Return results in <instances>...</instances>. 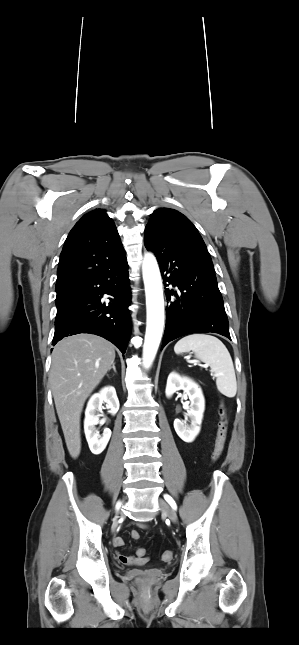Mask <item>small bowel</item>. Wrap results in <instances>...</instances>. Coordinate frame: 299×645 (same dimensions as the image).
I'll return each mask as SVG.
<instances>
[{
    "mask_svg": "<svg viewBox=\"0 0 299 645\" xmlns=\"http://www.w3.org/2000/svg\"><path fill=\"white\" fill-rule=\"evenodd\" d=\"M113 544L117 548L122 547L124 540L121 537H116L113 541ZM117 559L123 564H142L146 560V558L126 556L123 554H117Z\"/></svg>",
    "mask_w": 299,
    "mask_h": 645,
    "instance_id": "obj_1",
    "label": "small bowel"
}]
</instances>
